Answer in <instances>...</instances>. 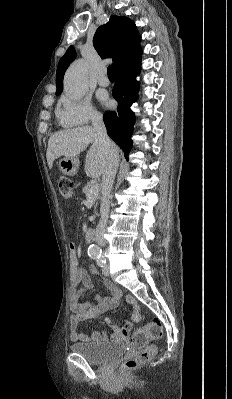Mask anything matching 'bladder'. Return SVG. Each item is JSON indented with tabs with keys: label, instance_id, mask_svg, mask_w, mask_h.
Listing matches in <instances>:
<instances>
[{
	"label": "bladder",
	"instance_id": "obj_1",
	"mask_svg": "<svg viewBox=\"0 0 232 399\" xmlns=\"http://www.w3.org/2000/svg\"><path fill=\"white\" fill-rule=\"evenodd\" d=\"M70 348L73 353L92 363H102L118 358L126 351V346L122 342H75Z\"/></svg>",
	"mask_w": 232,
	"mask_h": 399
}]
</instances>
